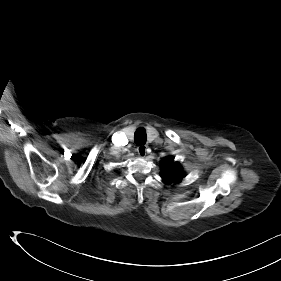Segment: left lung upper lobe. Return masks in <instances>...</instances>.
<instances>
[{
    "label": "left lung upper lobe",
    "instance_id": "obj_1",
    "mask_svg": "<svg viewBox=\"0 0 281 281\" xmlns=\"http://www.w3.org/2000/svg\"><path fill=\"white\" fill-rule=\"evenodd\" d=\"M161 177L166 184L179 183L184 177L181 166L174 162L173 157H166L160 162Z\"/></svg>",
    "mask_w": 281,
    "mask_h": 281
}]
</instances>
